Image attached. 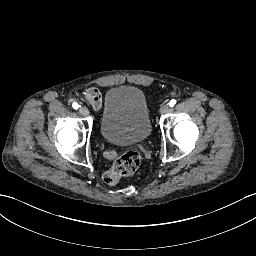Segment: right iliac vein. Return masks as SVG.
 Instances as JSON below:
<instances>
[{
    "label": "right iliac vein",
    "instance_id": "right-iliac-vein-1",
    "mask_svg": "<svg viewBox=\"0 0 256 256\" xmlns=\"http://www.w3.org/2000/svg\"><path fill=\"white\" fill-rule=\"evenodd\" d=\"M80 114L84 117L88 116L89 115V111L86 107H81L80 110H79Z\"/></svg>",
    "mask_w": 256,
    "mask_h": 256
}]
</instances>
